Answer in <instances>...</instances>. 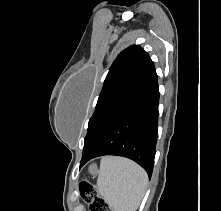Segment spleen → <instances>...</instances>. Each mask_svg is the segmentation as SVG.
<instances>
[{"instance_id":"obj_1","label":"spleen","mask_w":221,"mask_h":211,"mask_svg":"<svg viewBox=\"0 0 221 211\" xmlns=\"http://www.w3.org/2000/svg\"><path fill=\"white\" fill-rule=\"evenodd\" d=\"M147 183V173L133 161L114 156L101 159L97 190L113 211H136Z\"/></svg>"}]
</instances>
